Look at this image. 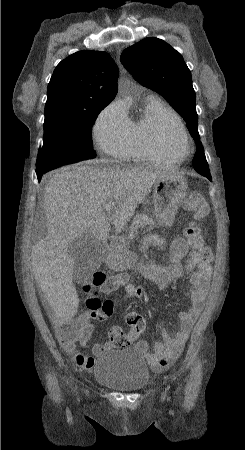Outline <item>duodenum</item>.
I'll list each match as a JSON object with an SVG mask.
<instances>
[{
    "label": "duodenum",
    "instance_id": "duodenum-1",
    "mask_svg": "<svg viewBox=\"0 0 245 450\" xmlns=\"http://www.w3.org/2000/svg\"><path fill=\"white\" fill-rule=\"evenodd\" d=\"M105 242L107 243V245L110 248V256L108 257V261H115L116 258L114 257V254H116L119 250V248L122 245V238L118 237V236H111V237H107L105 239Z\"/></svg>",
    "mask_w": 245,
    "mask_h": 450
}]
</instances>
